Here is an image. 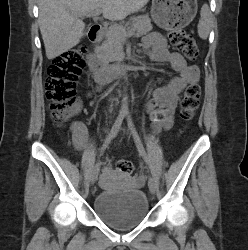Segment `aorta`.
I'll use <instances>...</instances> for the list:
<instances>
[{
  "label": "aorta",
  "instance_id": "aorta-1",
  "mask_svg": "<svg viewBox=\"0 0 248 250\" xmlns=\"http://www.w3.org/2000/svg\"><path fill=\"white\" fill-rule=\"evenodd\" d=\"M128 112H129L128 96L124 94L121 101V113H128Z\"/></svg>",
  "mask_w": 248,
  "mask_h": 250
}]
</instances>
